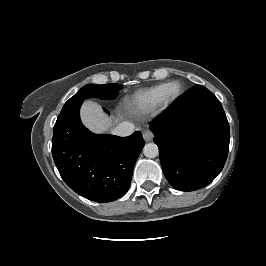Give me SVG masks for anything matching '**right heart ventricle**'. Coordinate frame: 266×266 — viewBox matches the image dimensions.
<instances>
[{
  "label": "right heart ventricle",
  "mask_w": 266,
  "mask_h": 266,
  "mask_svg": "<svg viewBox=\"0 0 266 266\" xmlns=\"http://www.w3.org/2000/svg\"><path fill=\"white\" fill-rule=\"evenodd\" d=\"M166 86V84H161L136 92L127 103V108L132 112L154 110L163 103Z\"/></svg>",
  "instance_id": "obj_1"
}]
</instances>
